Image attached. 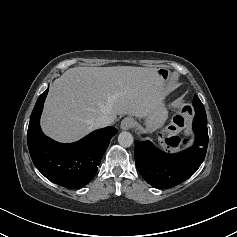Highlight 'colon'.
<instances>
[{"mask_svg": "<svg viewBox=\"0 0 237 237\" xmlns=\"http://www.w3.org/2000/svg\"><path fill=\"white\" fill-rule=\"evenodd\" d=\"M190 124H191V109L189 107H186L173 117L171 124L167 128V132L164 136L165 141L180 143L181 140L177 136V133L188 129Z\"/></svg>", "mask_w": 237, "mask_h": 237, "instance_id": "colon-1", "label": "colon"}]
</instances>
